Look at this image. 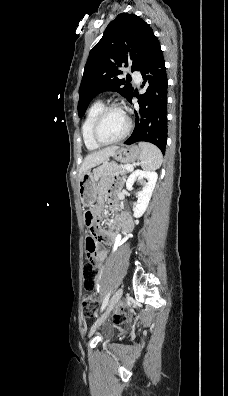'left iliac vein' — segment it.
<instances>
[{
	"mask_svg": "<svg viewBox=\"0 0 228 396\" xmlns=\"http://www.w3.org/2000/svg\"><path fill=\"white\" fill-rule=\"evenodd\" d=\"M123 295V287H120L112 296L108 309L107 311L103 314V316L101 318H99L97 320V322L93 325L91 332L89 334V336H91L95 330L98 328L99 325H101L105 319L107 318V316L109 315V313L117 306L118 302L120 301L121 297Z\"/></svg>",
	"mask_w": 228,
	"mask_h": 396,
	"instance_id": "4c4485c4",
	"label": "left iliac vein"
}]
</instances>
